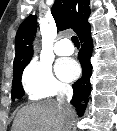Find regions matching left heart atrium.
<instances>
[{
  "label": "left heart atrium",
  "mask_w": 117,
  "mask_h": 131,
  "mask_svg": "<svg viewBox=\"0 0 117 131\" xmlns=\"http://www.w3.org/2000/svg\"><path fill=\"white\" fill-rule=\"evenodd\" d=\"M56 71L60 78L71 81L80 73L79 65L72 59H61L56 64Z\"/></svg>",
  "instance_id": "left-heart-atrium-1"
}]
</instances>
